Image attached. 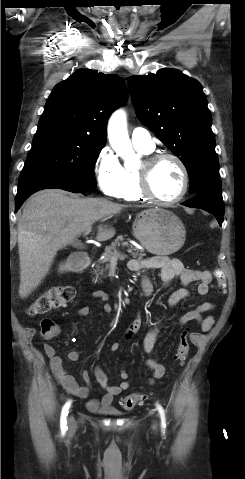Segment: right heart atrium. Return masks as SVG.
<instances>
[{
    "mask_svg": "<svg viewBox=\"0 0 245 479\" xmlns=\"http://www.w3.org/2000/svg\"><path fill=\"white\" fill-rule=\"evenodd\" d=\"M95 173L102 193L108 197H118L124 182V168L109 148L100 153Z\"/></svg>",
    "mask_w": 245,
    "mask_h": 479,
    "instance_id": "right-heart-atrium-1",
    "label": "right heart atrium"
}]
</instances>
